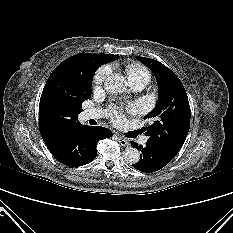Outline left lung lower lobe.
Here are the masks:
<instances>
[{
  "label": "left lung lower lobe",
  "mask_w": 233,
  "mask_h": 233,
  "mask_svg": "<svg viewBox=\"0 0 233 233\" xmlns=\"http://www.w3.org/2000/svg\"><path fill=\"white\" fill-rule=\"evenodd\" d=\"M131 145L142 153L139 161L133 164L134 168L142 172L151 173L158 171L175 157L148 141L145 147L133 141H131Z\"/></svg>",
  "instance_id": "left-lung-lower-lobe-1"
}]
</instances>
